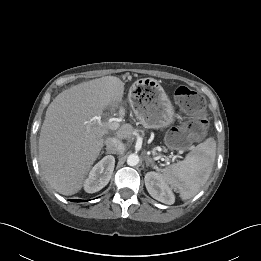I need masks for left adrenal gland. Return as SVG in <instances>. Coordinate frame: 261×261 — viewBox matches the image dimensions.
I'll return each mask as SVG.
<instances>
[{
	"instance_id": "1",
	"label": "left adrenal gland",
	"mask_w": 261,
	"mask_h": 261,
	"mask_svg": "<svg viewBox=\"0 0 261 261\" xmlns=\"http://www.w3.org/2000/svg\"><path fill=\"white\" fill-rule=\"evenodd\" d=\"M145 161H146L147 167L151 165L153 167V169L156 168V166L154 165V161L149 156L146 157Z\"/></svg>"
}]
</instances>
